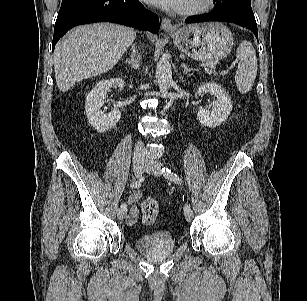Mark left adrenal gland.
Segmentation results:
<instances>
[{"label": "left adrenal gland", "mask_w": 307, "mask_h": 301, "mask_svg": "<svg viewBox=\"0 0 307 301\" xmlns=\"http://www.w3.org/2000/svg\"><path fill=\"white\" fill-rule=\"evenodd\" d=\"M181 66L183 67L184 71L183 74H188L191 71H195V69L193 68H188L187 65L185 63H182Z\"/></svg>", "instance_id": "a2214340"}]
</instances>
